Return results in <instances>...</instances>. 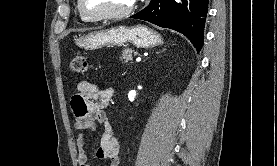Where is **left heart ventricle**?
I'll use <instances>...</instances> for the list:
<instances>
[{"instance_id": "b2bd125f", "label": "left heart ventricle", "mask_w": 277, "mask_h": 166, "mask_svg": "<svg viewBox=\"0 0 277 166\" xmlns=\"http://www.w3.org/2000/svg\"><path fill=\"white\" fill-rule=\"evenodd\" d=\"M132 0H83L84 8L95 14L119 12L126 9Z\"/></svg>"}]
</instances>
